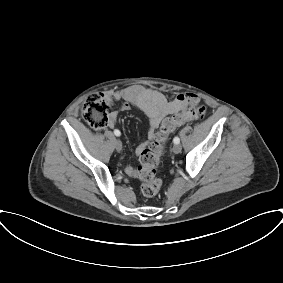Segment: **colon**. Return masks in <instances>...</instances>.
I'll return each instance as SVG.
<instances>
[{
  "instance_id": "colon-1",
  "label": "colon",
  "mask_w": 283,
  "mask_h": 283,
  "mask_svg": "<svg viewBox=\"0 0 283 283\" xmlns=\"http://www.w3.org/2000/svg\"><path fill=\"white\" fill-rule=\"evenodd\" d=\"M111 108L106 99L99 94L89 95L81 106L82 118L94 129H103L108 125ZM206 107L198 102H190L182 111L166 118L153 142L140 153L137 177L140 190L145 197L155 196L162 185L157 175L163 154V144L167 137L178 127L190 120L203 118Z\"/></svg>"
}]
</instances>
